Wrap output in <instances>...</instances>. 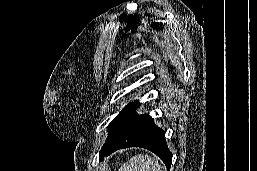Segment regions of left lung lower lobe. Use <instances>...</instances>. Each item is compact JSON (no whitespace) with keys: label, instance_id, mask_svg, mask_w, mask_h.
Wrapping results in <instances>:
<instances>
[{"label":"left lung lower lobe","instance_id":"0a47b994","mask_svg":"<svg viewBox=\"0 0 257 171\" xmlns=\"http://www.w3.org/2000/svg\"><path fill=\"white\" fill-rule=\"evenodd\" d=\"M128 147H142L152 151L170 170L172 153L167 148L165 132L155 126L154 120L148 114L137 115L116 138L105 142L99 157L103 159L104 156H108L118 149Z\"/></svg>","mask_w":257,"mask_h":171}]
</instances>
